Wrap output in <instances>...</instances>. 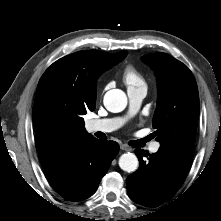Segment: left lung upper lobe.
Segmentation results:
<instances>
[{"mask_svg": "<svg viewBox=\"0 0 221 221\" xmlns=\"http://www.w3.org/2000/svg\"><path fill=\"white\" fill-rule=\"evenodd\" d=\"M156 72L158 101L153 117L154 132L162 148L193 155L199 117V95L192 72L166 53L143 57Z\"/></svg>", "mask_w": 221, "mask_h": 221, "instance_id": "left-lung-upper-lobe-1", "label": "left lung upper lobe"}]
</instances>
